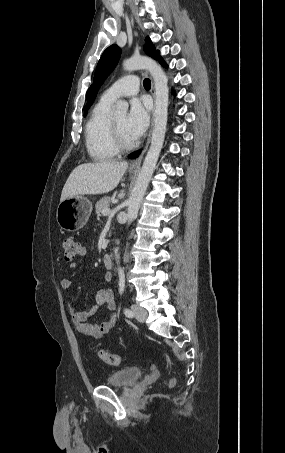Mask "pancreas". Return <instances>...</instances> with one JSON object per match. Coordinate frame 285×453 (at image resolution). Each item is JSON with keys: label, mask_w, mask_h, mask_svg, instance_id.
I'll list each match as a JSON object with an SVG mask.
<instances>
[{"label": "pancreas", "mask_w": 285, "mask_h": 453, "mask_svg": "<svg viewBox=\"0 0 285 453\" xmlns=\"http://www.w3.org/2000/svg\"><path fill=\"white\" fill-rule=\"evenodd\" d=\"M110 203H111V199H110V197H108V196H106V197L100 199V200L96 203V205H95L96 214H97V215H100V214H102V211H103L104 209H109Z\"/></svg>", "instance_id": "cf45deb5"}]
</instances>
